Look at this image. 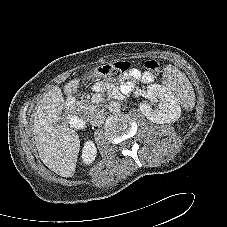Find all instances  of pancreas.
I'll list each match as a JSON object with an SVG mask.
<instances>
[{
  "label": "pancreas",
  "instance_id": "pancreas-1",
  "mask_svg": "<svg viewBox=\"0 0 227 227\" xmlns=\"http://www.w3.org/2000/svg\"><path fill=\"white\" fill-rule=\"evenodd\" d=\"M76 106L78 107V109L80 111H82L83 113H92L97 105L93 104L92 102H90L89 100H82L76 103Z\"/></svg>",
  "mask_w": 227,
  "mask_h": 227
}]
</instances>
